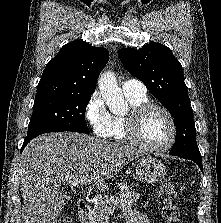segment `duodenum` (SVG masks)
Returning a JSON list of instances; mask_svg holds the SVG:
<instances>
[{
  "label": "duodenum",
  "instance_id": "duodenum-1",
  "mask_svg": "<svg viewBox=\"0 0 221 223\" xmlns=\"http://www.w3.org/2000/svg\"><path fill=\"white\" fill-rule=\"evenodd\" d=\"M77 208H78V218L80 221H84L87 216L89 215L92 206L89 200L87 199H80L77 202Z\"/></svg>",
  "mask_w": 221,
  "mask_h": 223
}]
</instances>
